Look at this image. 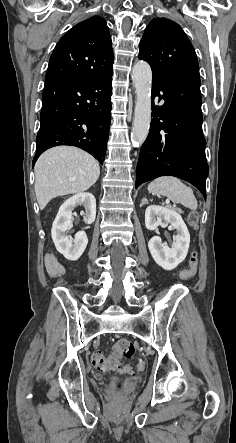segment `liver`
Returning <instances> with one entry per match:
<instances>
[{
    "mask_svg": "<svg viewBox=\"0 0 236 443\" xmlns=\"http://www.w3.org/2000/svg\"><path fill=\"white\" fill-rule=\"evenodd\" d=\"M34 171L35 194L41 210L55 197L88 190L100 175L98 162L87 152L71 146L44 152Z\"/></svg>",
    "mask_w": 236,
    "mask_h": 443,
    "instance_id": "obj_1",
    "label": "liver"
}]
</instances>
